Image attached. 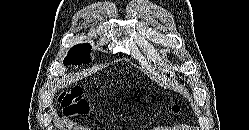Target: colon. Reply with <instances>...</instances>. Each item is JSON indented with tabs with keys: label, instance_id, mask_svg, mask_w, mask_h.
<instances>
[{
	"label": "colon",
	"instance_id": "colon-1",
	"mask_svg": "<svg viewBox=\"0 0 249 130\" xmlns=\"http://www.w3.org/2000/svg\"><path fill=\"white\" fill-rule=\"evenodd\" d=\"M58 102L63 109L66 117L84 116L88 112V105L82 98V90L79 87H73L68 91H64L59 95ZM173 113H178L180 107L174 105Z\"/></svg>",
	"mask_w": 249,
	"mask_h": 130
}]
</instances>
